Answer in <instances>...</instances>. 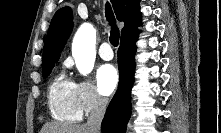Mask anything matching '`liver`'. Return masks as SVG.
Wrapping results in <instances>:
<instances>
[{
  "label": "liver",
  "mask_w": 221,
  "mask_h": 133,
  "mask_svg": "<svg viewBox=\"0 0 221 133\" xmlns=\"http://www.w3.org/2000/svg\"><path fill=\"white\" fill-rule=\"evenodd\" d=\"M40 133H90L86 125H76L71 123H46Z\"/></svg>",
  "instance_id": "1"
}]
</instances>
